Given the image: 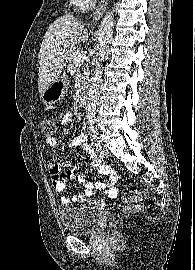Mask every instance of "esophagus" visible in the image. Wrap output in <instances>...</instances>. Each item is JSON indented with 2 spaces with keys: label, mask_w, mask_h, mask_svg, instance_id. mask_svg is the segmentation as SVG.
<instances>
[{
  "label": "esophagus",
  "mask_w": 195,
  "mask_h": 270,
  "mask_svg": "<svg viewBox=\"0 0 195 270\" xmlns=\"http://www.w3.org/2000/svg\"><path fill=\"white\" fill-rule=\"evenodd\" d=\"M109 0H101L99 2V5L96 8V11L94 13L93 19L91 21V24L94 25L97 23V21L102 17L103 13L105 12Z\"/></svg>",
  "instance_id": "esophagus-1"
}]
</instances>
